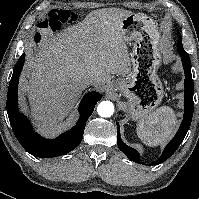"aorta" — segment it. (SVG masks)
I'll return each instance as SVG.
<instances>
[{
    "label": "aorta",
    "mask_w": 199,
    "mask_h": 199,
    "mask_svg": "<svg viewBox=\"0 0 199 199\" xmlns=\"http://www.w3.org/2000/svg\"><path fill=\"white\" fill-rule=\"evenodd\" d=\"M97 112L101 117H110L114 112V105L110 101H102L97 107Z\"/></svg>",
    "instance_id": "762f6f07"
}]
</instances>
